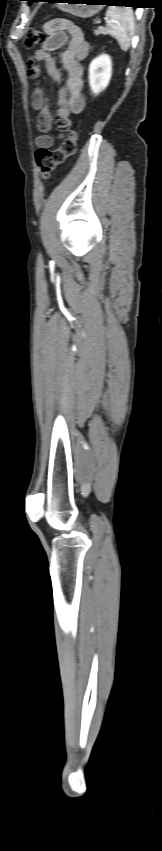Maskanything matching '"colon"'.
Wrapping results in <instances>:
<instances>
[{"mask_svg": "<svg viewBox=\"0 0 162 851\" xmlns=\"http://www.w3.org/2000/svg\"><path fill=\"white\" fill-rule=\"evenodd\" d=\"M45 40L44 33L36 28L30 29L25 37L24 44L27 48H33ZM77 147V133L73 129H67V135L58 148L50 149L40 147L35 153L36 163L43 179H48L52 170L63 164L68 157L72 156Z\"/></svg>", "mask_w": 162, "mask_h": 851, "instance_id": "colon-1", "label": "colon"}]
</instances>
